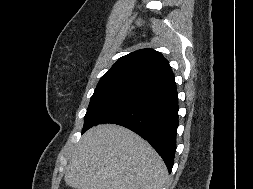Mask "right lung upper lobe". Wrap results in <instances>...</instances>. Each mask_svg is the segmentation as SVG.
<instances>
[{
    "mask_svg": "<svg viewBox=\"0 0 253 189\" xmlns=\"http://www.w3.org/2000/svg\"><path fill=\"white\" fill-rule=\"evenodd\" d=\"M175 83L168 61L152 49H141L121 57L105 73L96 89L132 87L147 92Z\"/></svg>",
    "mask_w": 253,
    "mask_h": 189,
    "instance_id": "cb5924a9",
    "label": "right lung upper lobe"
}]
</instances>
